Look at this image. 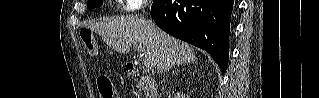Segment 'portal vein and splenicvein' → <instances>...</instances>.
Segmentation results:
<instances>
[{
    "label": "portal vein and splenic vein",
    "instance_id": "obj_1",
    "mask_svg": "<svg viewBox=\"0 0 319 98\" xmlns=\"http://www.w3.org/2000/svg\"><path fill=\"white\" fill-rule=\"evenodd\" d=\"M137 51L144 54V65L146 68H152L155 65L154 60L152 59L151 55L145 51V48L141 45L136 46Z\"/></svg>",
    "mask_w": 319,
    "mask_h": 98
}]
</instances>
